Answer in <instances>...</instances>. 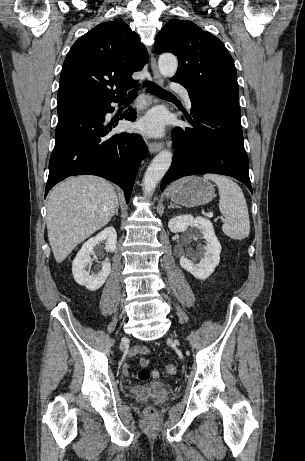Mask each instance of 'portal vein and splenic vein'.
<instances>
[{"mask_svg":"<svg viewBox=\"0 0 305 461\" xmlns=\"http://www.w3.org/2000/svg\"><path fill=\"white\" fill-rule=\"evenodd\" d=\"M208 216L211 217L212 215H208ZM220 219H221L222 221H225V219H224L223 217H220Z\"/></svg>","mask_w":305,"mask_h":461,"instance_id":"18ae733b","label":"portal vein and splenic vein"}]
</instances>
